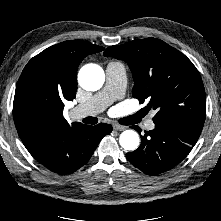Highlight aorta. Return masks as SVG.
<instances>
[{
	"instance_id": "obj_1",
	"label": "aorta",
	"mask_w": 221,
	"mask_h": 221,
	"mask_svg": "<svg viewBox=\"0 0 221 221\" xmlns=\"http://www.w3.org/2000/svg\"><path fill=\"white\" fill-rule=\"evenodd\" d=\"M78 81L88 91L100 89L105 81L103 69L97 64H87L78 73ZM121 147L128 151L136 150L140 144L139 135L134 130H125L119 137Z\"/></svg>"
}]
</instances>
